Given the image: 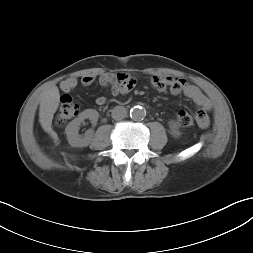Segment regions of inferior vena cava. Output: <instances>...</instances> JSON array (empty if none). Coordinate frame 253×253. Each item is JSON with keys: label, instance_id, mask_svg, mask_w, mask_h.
Masks as SVG:
<instances>
[{"label": "inferior vena cava", "instance_id": "obj_1", "mask_svg": "<svg viewBox=\"0 0 253 253\" xmlns=\"http://www.w3.org/2000/svg\"><path fill=\"white\" fill-rule=\"evenodd\" d=\"M127 110L123 106H116L112 110V118L115 120H122L126 117Z\"/></svg>", "mask_w": 253, "mask_h": 253}]
</instances>
